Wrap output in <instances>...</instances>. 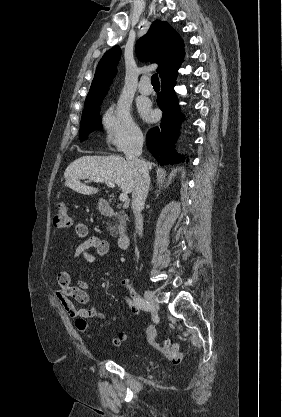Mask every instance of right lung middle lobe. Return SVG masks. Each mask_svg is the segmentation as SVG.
<instances>
[{
  "label": "right lung middle lobe",
  "instance_id": "right-lung-middle-lobe-1",
  "mask_svg": "<svg viewBox=\"0 0 282 417\" xmlns=\"http://www.w3.org/2000/svg\"><path fill=\"white\" fill-rule=\"evenodd\" d=\"M106 94H100L95 96H88L85 101V108L82 113L80 124V139L83 140L88 134L94 130H100L102 128L100 105Z\"/></svg>",
  "mask_w": 282,
  "mask_h": 417
}]
</instances>
